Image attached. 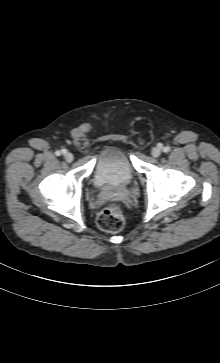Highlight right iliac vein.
I'll use <instances>...</instances> for the list:
<instances>
[{
  "instance_id": "right-iliac-vein-1",
  "label": "right iliac vein",
  "mask_w": 220,
  "mask_h": 363,
  "mask_svg": "<svg viewBox=\"0 0 220 363\" xmlns=\"http://www.w3.org/2000/svg\"><path fill=\"white\" fill-rule=\"evenodd\" d=\"M64 158H65V160H66L67 162H72V161H73V159H74V156H73V154H72V153H70V152H66V153L64 154Z\"/></svg>"
}]
</instances>
